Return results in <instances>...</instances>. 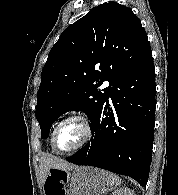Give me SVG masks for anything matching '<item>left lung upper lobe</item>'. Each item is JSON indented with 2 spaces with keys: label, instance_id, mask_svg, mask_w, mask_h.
Masks as SVG:
<instances>
[{
  "label": "left lung upper lobe",
  "instance_id": "left-lung-upper-lobe-1",
  "mask_svg": "<svg viewBox=\"0 0 178 195\" xmlns=\"http://www.w3.org/2000/svg\"><path fill=\"white\" fill-rule=\"evenodd\" d=\"M151 51L139 18L117 2L103 3L67 27L49 52L37 94L36 119L47 138L67 109L82 110L92 121L110 86Z\"/></svg>",
  "mask_w": 178,
  "mask_h": 195
}]
</instances>
